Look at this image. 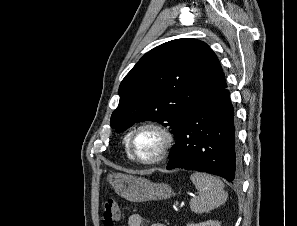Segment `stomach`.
<instances>
[{"label":"stomach","instance_id":"stomach-1","mask_svg":"<svg viewBox=\"0 0 297 226\" xmlns=\"http://www.w3.org/2000/svg\"><path fill=\"white\" fill-rule=\"evenodd\" d=\"M107 179L118 195L131 202L166 199L173 194L168 184L153 183L141 177L112 173Z\"/></svg>","mask_w":297,"mask_h":226}]
</instances>
